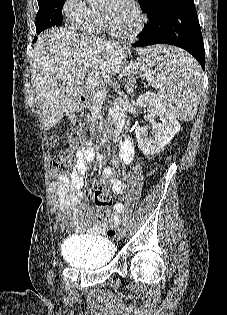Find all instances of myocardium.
Here are the masks:
<instances>
[{
	"instance_id": "1",
	"label": "myocardium",
	"mask_w": 227,
	"mask_h": 315,
	"mask_svg": "<svg viewBox=\"0 0 227 315\" xmlns=\"http://www.w3.org/2000/svg\"><path fill=\"white\" fill-rule=\"evenodd\" d=\"M129 4L134 10L136 17H137V24L135 28L130 32V33H121L116 31L113 26L111 25L107 15L102 12L101 17H102V22L105 27V29L113 36L122 39V40H130L135 38L136 36L139 35V33L143 30L146 18L143 13V11L140 9V7L136 4L134 0H129Z\"/></svg>"
}]
</instances>
